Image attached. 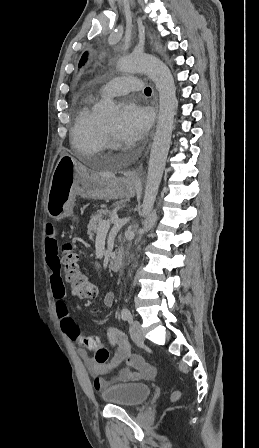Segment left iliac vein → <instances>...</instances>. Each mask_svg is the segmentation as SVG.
I'll return each instance as SVG.
<instances>
[{
	"label": "left iliac vein",
	"instance_id": "4c4485c4",
	"mask_svg": "<svg viewBox=\"0 0 259 448\" xmlns=\"http://www.w3.org/2000/svg\"><path fill=\"white\" fill-rule=\"evenodd\" d=\"M129 331L134 342L142 343L144 341V334L139 321H131Z\"/></svg>",
	"mask_w": 259,
	"mask_h": 448
}]
</instances>
